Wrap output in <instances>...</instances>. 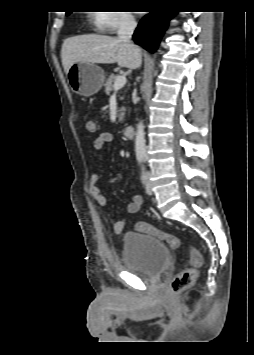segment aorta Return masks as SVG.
I'll use <instances>...</instances> for the list:
<instances>
[{"label": "aorta", "instance_id": "1", "mask_svg": "<svg viewBox=\"0 0 254 355\" xmlns=\"http://www.w3.org/2000/svg\"><path fill=\"white\" fill-rule=\"evenodd\" d=\"M135 153L137 157H145L146 155V145H145V132L144 124L140 121L137 125L136 135H135Z\"/></svg>", "mask_w": 254, "mask_h": 355}]
</instances>
